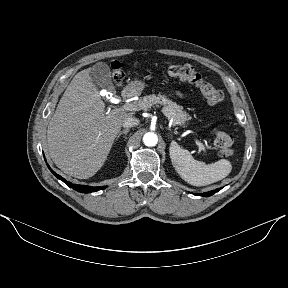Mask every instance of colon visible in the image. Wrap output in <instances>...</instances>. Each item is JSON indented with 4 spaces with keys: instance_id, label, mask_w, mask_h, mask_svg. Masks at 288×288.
Returning a JSON list of instances; mask_svg holds the SVG:
<instances>
[{
    "instance_id": "1",
    "label": "colon",
    "mask_w": 288,
    "mask_h": 288,
    "mask_svg": "<svg viewBox=\"0 0 288 288\" xmlns=\"http://www.w3.org/2000/svg\"><path fill=\"white\" fill-rule=\"evenodd\" d=\"M112 68L114 79L116 83L120 84L123 80V73L119 64H113ZM166 72L172 78L195 85L209 105H218L224 99L222 91L204 81L202 76L190 65H171L167 67ZM212 133L219 155L224 158L231 156L233 153L231 136L215 127L212 128Z\"/></svg>"
}]
</instances>
